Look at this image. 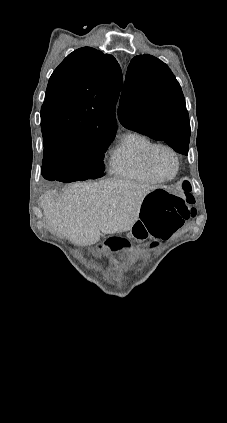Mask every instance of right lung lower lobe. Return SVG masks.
<instances>
[{
  "instance_id": "obj_1",
  "label": "right lung lower lobe",
  "mask_w": 227,
  "mask_h": 423,
  "mask_svg": "<svg viewBox=\"0 0 227 423\" xmlns=\"http://www.w3.org/2000/svg\"><path fill=\"white\" fill-rule=\"evenodd\" d=\"M42 175L50 181L73 182L71 170L68 166L56 162H44L42 164Z\"/></svg>"
}]
</instances>
